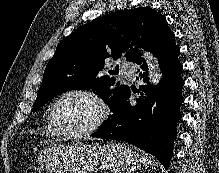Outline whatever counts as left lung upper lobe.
<instances>
[{
    "label": "left lung upper lobe",
    "mask_w": 219,
    "mask_h": 173,
    "mask_svg": "<svg viewBox=\"0 0 219 173\" xmlns=\"http://www.w3.org/2000/svg\"><path fill=\"white\" fill-rule=\"evenodd\" d=\"M171 33L162 14L144 7L120 10L82 26L58 44L32 111L63 92L86 89H93L114 111L129 87L103 75L105 59L125 56L135 63L140 58L138 47L151 51Z\"/></svg>",
    "instance_id": "5c2ea615"
}]
</instances>
